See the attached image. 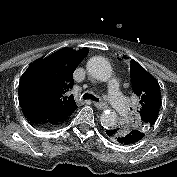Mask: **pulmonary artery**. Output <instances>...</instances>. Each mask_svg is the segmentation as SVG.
I'll return each mask as SVG.
<instances>
[{
	"mask_svg": "<svg viewBox=\"0 0 177 177\" xmlns=\"http://www.w3.org/2000/svg\"><path fill=\"white\" fill-rule=\"evenodd\" d=\"M108 100L118 113L123 114L126 112L127 106L121 95L119 83L115 78L111 79L108 84Z\"/></svg>",
	"mask_w": 177,
	"mask_h": 177,
	"instance_id": "1",
	"label": "pulmonary artery"
}]
</instances>
